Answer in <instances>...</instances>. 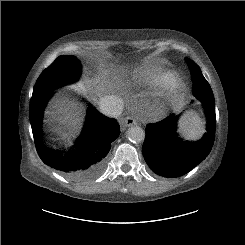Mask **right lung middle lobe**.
<instances>
[{
	"label": "right lung middle lobe",
	"mask_w": 245,
	"mask_h": 245,
	"mask_svg": "<svg viewBox=\"0 0 245 245\" xmlns=\"http://www.w3.org/2000/svg\"><path fill=\"white\" fill-rule=\"evenodd\" d=\"M81 75V63L74 56H59L38 78L31 100H36L46 92L75 82Z\"/></svg>",
	"instance_id": "dd1d6c3e"
}]
</instances>
